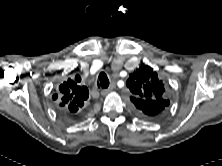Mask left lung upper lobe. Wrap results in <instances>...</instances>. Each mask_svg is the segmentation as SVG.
I'll return each instance as SVG.
<instances>
[{
    "instance_id": "left-lung-upper-lobe-1",
    "label": "left lung upper lobe",
    "mask_w": 222,
    "mask_h": 166,
    "mask_svg": "<svg viewBox=\"0 0 222 166\" xmlns=\"http://www.w3.org/2000/svg\"><path fill=\"white\" fill-rule=\"evenodd\" d=\"M127 87L133 94L131 101L135 107L147 116L158 115L168 106L163 95L164 85L150 66L146 65L131 73Z\"/></svg>"
}]
</instances>
